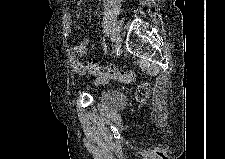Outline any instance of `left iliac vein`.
<instances>
[{
  "label": "left iliac vein",
  "instance_id": "4c4485c4",
  "mask_svg": "<svg viewBox=\"0 0 225 159\" xmlns=\"http://www.w3.org/2000/svg\"><path fill=\"white\" fill-rule=\"evenodd\" d=\"M122 38L120 35L115 36V42H114V51H117L121 48Z\"/></svg>",
  "mask_w": 225,
  "mask_h": 159
}]
</instances>
